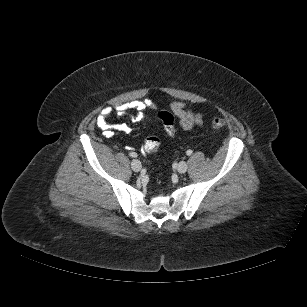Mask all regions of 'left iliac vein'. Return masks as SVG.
Wrapping results in <instances>:
<instances>
[{
    "label": "left iliac vein",
    "instance_id": "4c4485c4",
    "mask_svg": "<svg viewBox=\"0 0 307 307\" xmlns=\"http://www.w3.org/2000/svg\"><path fill=\"white\" fill-rule=\"evenodd\" d=\"M187 163L185 161H181L179 162L178 166H177V171L180 173V174H183L187 171Z\"/></svg>",
    "mask_w": 307,
    "mask_h": 307
}]
</instances>
